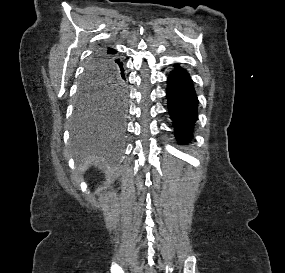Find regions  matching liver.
Returning <instances> with one entry per match:
<instances>
[{
	"mask_svg": "<svg viewBox=\"0 0 285 273\" xmlns=\"http://www.w3.org/2000/svg\"><path fill=\"white\" fill-rule=\"evenodd\" d=\"M90 163H91L90 160H89V161H86L85 164L80 167V170H81V171L87 170V168H88V166H89Z\"/></svg>",
	"mask_w": 285,
	"mask_h": 273,
	"instance_id": "obj_1",
	"label": "liver"
}]
</instances>
